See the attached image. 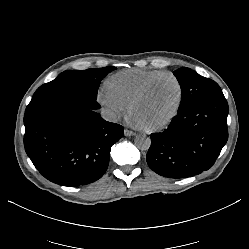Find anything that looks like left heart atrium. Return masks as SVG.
Segmentation results:
<instances>
[{
  "label": "left heart atrium",
  "instance_id": "39dd6f15",
  "mask_svg": "<svg viewBox=\"0 0 249 249\" xmlns=\"http://www.w3.org/2000/svg\"><path fill=\"white\" fill-rule=\"evenodd\" d=\"M128 119H129V121H130V123L132 124V125H134L135 127H137V128H142V127H144L143 125H142V123L139 121V119L136 117V115L134 114V113H130L129 114V116H128Z\"/></svg>",
  "mask_w": 249,
  "mask_h": 249
}]
</instances>
